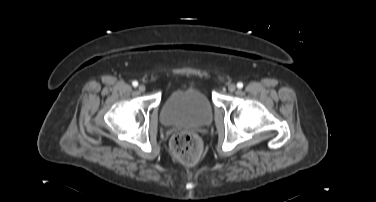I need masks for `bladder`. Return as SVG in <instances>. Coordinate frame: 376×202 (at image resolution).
Wrapping results in <instances>:
<instances>
[{
	"label": "bladder",
	"mask_w": 376,
	"mask_h": 202,
	"mask_svg": "<svg viewBox=\"0 0 376 202\" xmlns=\"http://www.w3.org/2000/svg\"><path fill=\"white\" fill-rule=\"evenodd\" d=\"M161 122L170 127L201 128L213 120V106L201 90L189 87L172 92L160 111Z\"/></svg>",
	"instance_id": "31cf9c89"
}]
</instances>
